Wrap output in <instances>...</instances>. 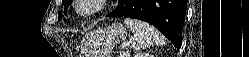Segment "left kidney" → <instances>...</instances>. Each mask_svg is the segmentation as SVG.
I'll return each mask as SVG.
<instances>
[{
  "mask_svg": "<svg viewBox=\"0 0 249 57\" xmlns=\"http://www.w3.org/2000/svg\"><path fill=\"white\" fill-rule=\"evenodd\" d=\"M134 57H154V55L149 52H139Z\"/></svg>",
  "mask_w": 249,
  "mask_h": 57,
  "instance_id": "left-kidney-1",
  "label": "left kidney"
}]
</instances>
